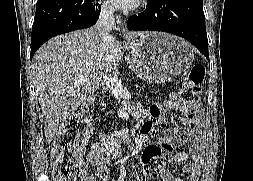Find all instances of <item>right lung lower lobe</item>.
<instances>
[{
    "label": "right lung lower lobe",
    "instance_id": "98d812e1",
    "mask_svg": "<svg viewBox=\"0 0 253 181\" xmlns=\"http://www.w3.org/2000/svg\"><path fill=\"white\" fill-rule=\"evenodd\" d=\"M98 0H38L32 26L31 55L50 38L93 26L100 14Z\"/></svg>",
    "mask_w": 253,
    "mask_h": 181
}]
</instances>
